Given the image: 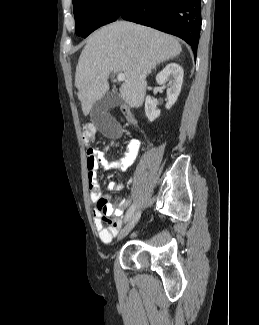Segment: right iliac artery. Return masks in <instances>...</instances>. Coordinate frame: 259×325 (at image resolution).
Masks as SVG:
<instances>
[{"label": "right iliac artery", "instance_id": "right-iliac-artery-1", "mask_svg": "<svg viewBox=\"0 0 259 325\" xmlns=\"http://www.w3.org/2000/svg\"><path fill=\"white\" fill-rule=\"evenodd\" d=\"M135 207H136V205L133 204V205L128 209V211L126 212V215H125V222H127V221L131 218L132 214L134 213Z\"/></svg>", "mask_w": 259, "mask_h": 325}]
</instances>
